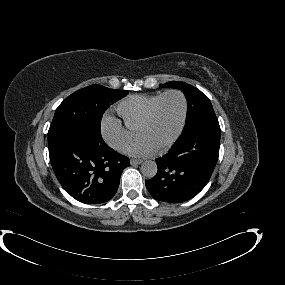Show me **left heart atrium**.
I'll return each instance as SVG.
<instances>
[{"label":"left heart atrium","instance_id":"39dd6f15","mask_svg":"<svg viewBox=\"0 0 285 285\" xmlns=\"http://www.w3.org/2000/svg\"><path fill=\"white\" fill-rule=\"evenodd\" d=\"M155 148L148 140L139 137L125 151L131 156L140 158L152 154Z\"/></svg>","mask_w":285,"mask_h":285}]
</instances>
